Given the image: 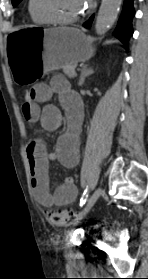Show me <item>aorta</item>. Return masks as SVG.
Wrapping results in <instances>:
<instances>
[{
  "label": "aorta",
  "instance_id": "aorta-1",
  "mask_svg": "<svg viewBox=\"0 0 148 279\" xmlns=\"http://www.w3.org/2000/svg\"><path fill=\"white\" fill-rule=\"evenodd\" d=\"M121 4L122 0H102L95 23L97 34L103 35L110 29L118 16Z\"/></svg>",
  "mask_w": 148,
  "mask_h": 279
}]
</instances>
